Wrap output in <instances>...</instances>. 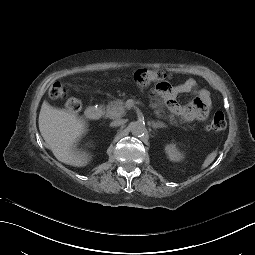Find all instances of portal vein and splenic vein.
<instances>
[{"instance_id":"obj_1","label":"portal vein and splenic vein","mask_w":255,"mask_h":255,"mask_svg":"<svg viewBox=\"0 0 255 255\" xmlns=\"http://www.w3.org/2000/svg\"><path fill=\"white\" fill-rule=\"evenodd\" d=\"M135 105V102L132 98H129L126 103H125V106L129 109H132Z\"/></svg>"}]
</instances>
